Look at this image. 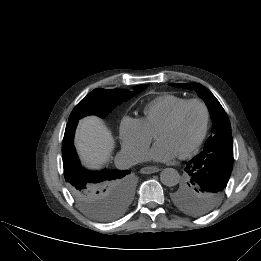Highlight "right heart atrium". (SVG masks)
Returning <instances> with one entry per match:
<instances>
[{"instance_id":"right-heart-atrium-1","label":"right heart atrium","mask_w":261,"mask_h":261,"mask_svg":"<svg viewBox=\"0 0 261 261\" xmlns=\"http://www.w3.org/2000/svg\"><path fill=\"white\" fill-rule=\"evenodd\" d=\"M119 135L123 149L135 158L143 157L153 140V134L147 130L140 118L124 117Z\"/></svg>"}]
</instances>
